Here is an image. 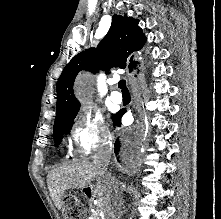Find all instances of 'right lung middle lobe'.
Here are the masks:
<instances>
[{
    "label": "right lung middle lobe",
    "mask_w": 221,
    "mask_h": 219,
    "mask_svg": "<svg viewBox=\"0 0 221 219\" xmlns=\"http://www.w3.org/2000/svg\"><path fill=\"white\" fill-rule=\"evenodd\" d=\"M79 107L73 109L69 113L55 119L54 122V141L57 144L60 143L62 135L69 132L74 122V118L78 112Z\"/></svg>",
    "instance_id": "1"
}]
</instances>
